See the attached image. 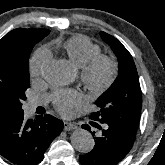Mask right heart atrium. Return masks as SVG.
Here are the masks:
<instances>
[{"mask_svg": "<svg viewBox=\"0 0 165 165\" xmlns=\"http://www.w3.org/2000/svg\"><path fill=\"white\" fill-rule=\"evenodd\" d=\"M51 59L50 51L45 48H39L33 54L30 60V74L33 77H38L41 75L45 66L49 63Z\"/></svg>", "mask_w": 165, "mask_h": 165, "instance_id": "d8ad5b80", "label": "right heart atrium"}]
</instances>
